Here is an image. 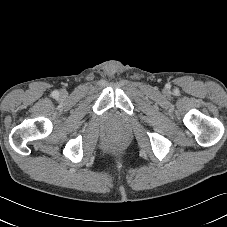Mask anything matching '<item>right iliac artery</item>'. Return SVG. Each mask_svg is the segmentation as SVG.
I'll return each mask as SVG.
<instances>
[{
	"label": "right iliac artery",
	"instance_id": "obj_1",
	"mask_svg": "<svg viewBox=\"0 0 227 227\" xmlns=\"http://www.w3.org/2000/svg\"><path fill=\"white\" fill-rule=\"evenodd\" d=\"M52 95H53V97H58V96H59V93H58V91H54V92L52 93Z\"/></svg>",
	"mask_w": 227,
	"mask_h": 227
}]
</instances>
